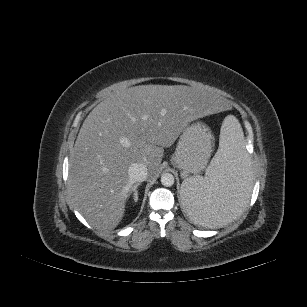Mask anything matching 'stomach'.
<instances>
[{
    "instance_id": "stomach-1",
    "label": "stomach",
    "mask_w": 307,
    "mask_h": 307,
    "mask_svg": "<svg viewBox=\"0 0 307 307\" xmlns=\"http://www.w3.org/2000/svg\"><path fill=\"white\" fill-rule=\"evenodd\" d=\"M213 146L210 128L201 121L193 122L182 131L171 164L181 170L183 178L197 175L206 168Z\"/></svg>"
}]
</instances>
